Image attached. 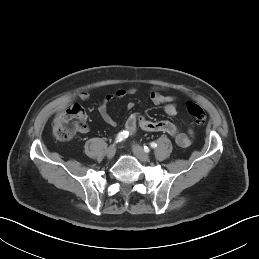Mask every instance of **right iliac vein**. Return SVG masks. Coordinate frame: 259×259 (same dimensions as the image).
I'll return each instance as SVG.
<instances>
[{
  "mask_svg": "<svg viewBox=\"0 0 259 259\" xmlns=\"http://www.w3.org/2000/svg\"><path fill=\"white\" fill-rule=\"evenodd\" d=\"M116 153V145H111L108 147L107 151H106V156L108 159H112L114 157Z\"/></svg>",
  "mask_w": 259,
  "mask_h": 259,
  "instance_id": "1",
  "label": "right iliac vein"
}]
</instances>
